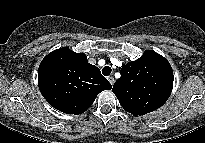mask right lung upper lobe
Instances as JSON below:
<instances>
[{"label":"right lung upper lobe","mask_w":205,"mask_h":143,"mask_svg":"<svg viewBox=\"0 0 205 143\" xmlns=\"http://www.w3.org/2000/svg\"><path fill=\"white\" fill-rule=\"evenodd\" d=\"M38 85L50 105L75 115L85 112L100 92L112 88L99 68L88 63L85 54L68 47L45 56L38 70Z\"/></svg>","instance_id":"1"}]
</instances>
